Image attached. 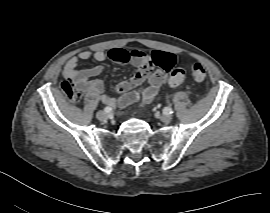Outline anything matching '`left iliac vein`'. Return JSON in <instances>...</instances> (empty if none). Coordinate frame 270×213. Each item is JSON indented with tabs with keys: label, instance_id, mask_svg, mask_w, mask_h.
I'll use <instances>...</instances> for the list:
<instances>
[{
	"label": "left iliac vein",
	"instance_id": "4c4485c4",
	"mask_svg": "<svg viewBox=\"0 0 270 213\" xmlns=\"http://www.w3.org/2000/svg\"><path fill=\"white\" fill-rule=\"evenodd\" d=\"M172 120V117L170 114H163L161 115V121L164 123H170Z\"/></svg>",
	"mask_w": 270,
	"mask_h": 213
}]
</instances>
